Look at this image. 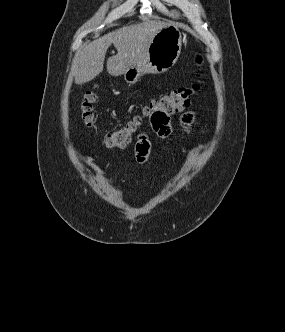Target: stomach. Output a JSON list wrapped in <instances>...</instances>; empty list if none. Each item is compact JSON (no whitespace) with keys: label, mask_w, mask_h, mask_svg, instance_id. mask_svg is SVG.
Wrapping results in <instances>:
<instances>
[{"label":"stomach","mask_w":285,"mask_h":332,"mask_svg":"<svg viewBox=\"0 0 285 332\" xmlns=\"http://www.w3.org/2000/svg\"><path fill=\"white\" fill-rule=\"evenodd\" d=\"M182 48V33L172 25L159 30L149 45L145 60L128 69L124 80L133 85L146 73L161 74L168 71L177 62Z\"/></svg>","instance_id":"stomach-1"}]
</instances>
